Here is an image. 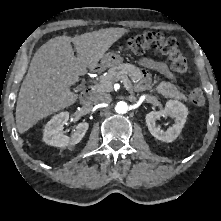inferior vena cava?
Wrapping results in <instances>:
<instances>
[{
  "label": "inferior vena cava",
  "mask_w": 221,
  "mask_h": 221,
  "mask_svg": "<svg viewBox=\"0 0 221 221\" xmlns=\"http://www.w3.org/2000/svg\"><path fill=\"white\" fill-rule=\"evenodd\" d=\"M111 100L112 99L109 94L101 93L93 96L91 101L93 104H103V103H110Z\"/></svg>",
  "instance_id": "obj_1"
}]
</instances>
